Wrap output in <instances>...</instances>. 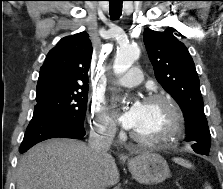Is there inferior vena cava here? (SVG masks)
<instances>
[{"label":"inferior vena cava","mask_w":223,"mask_h":189,"mask_svg":"<svg viewBox=\"0 0 223 189\" xmlns=\"http://www.w3.org/2000/svg\"><path fill=\"white\" fill-rule=\"evenodd\" d=\"M114 136L115 128L95 124L90 131L88 146L95 155L106 156ZM100 189H106V186L103 185Z\"/></svg>","instance_id":"obj_1"}]
</instances>
